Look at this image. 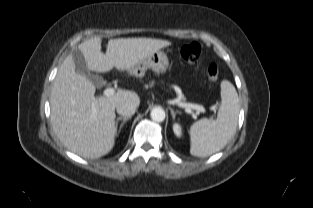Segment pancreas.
<instances>
[{"label":"pancreas","mask_w":313,"mask_h":208,"mask_svg":"<svg viewBox=\"0 0 313 208\" xmlns=\"http://www.w3.org/2000/svg\"><path fill=\"white\" fill-rule=\"evenodd\" d=\"M182 101H183V102L185 101V98H184V97L182 98Z\"/></svg>","instance_id":"pancreas-1"}]
</instances>
